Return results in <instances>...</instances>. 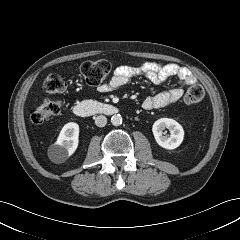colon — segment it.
<instances>
[{
	"instance_id": "colon-1",
	"label": "colon",
	"mask_w": 240,
	"mask_h": 240,
	"mask_svg": "<svg viewBox=\"0 0 240 240\" xmlns=\"http://www.w3.org/2000/svg\"><path fill=\"white\" fill-rule=\"evenodd\" d=\"M112 69V64L106 60L86 61L81 66V74L85 82L90 86H97L108 76ZM65 81L58 73L49 74L44 80V88L48 93H58L65 89ZM205 92L200 84L191 85L183 97V102L187 105L197 104L204 98ZM63 109L60 100H49L38 105L32 113V121L41 124L57 115Z\"/></svg>"
}]
</instances>
